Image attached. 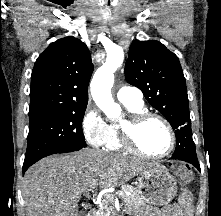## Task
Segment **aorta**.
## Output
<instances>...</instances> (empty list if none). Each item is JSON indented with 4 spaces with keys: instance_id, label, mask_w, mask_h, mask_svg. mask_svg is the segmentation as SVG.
I'll return each instance as SVG.
<instances>
[{
    "instance_id": "1",
    "label": "aorta",
    "mask_w": 221,
    "mask_h": 216,
    "mask_svg": "<svg viewBox=\"0 0 221 216\" xmlns=\"http://www.w3.org/2000/svg\"><path fill=\"white\" fill-rule=\"evenodd\" d=\"M123 60V49L117 45L113 46L107 53L106 62L97 69L90 84L93 100L109 118H117L121 114L120 106L114 102L111 95V88L114 73L122 65Z\"/></svg>"
}]
</instances>
